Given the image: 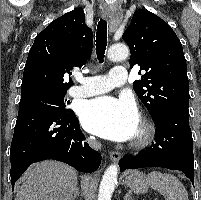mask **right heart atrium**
<instances>
[{
  "label": "right heart atrium",
  "mask_w": 201,
  "mask_h": 200,
  "mask_svg": "<svg viewBox=\"0 0 201 200\" xmlns=\"http://www.w3.org/2000/svg\"><path fill=\"white\" fill-rule=\"evenodd\" d=\"M90 142L94 144V140L93 139H90Z\"/></svg>",
  "instance_id": "right-heart-atrium-1"
}]
</instances>
